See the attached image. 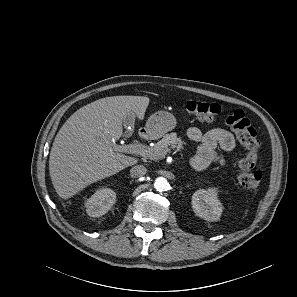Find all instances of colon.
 <instances>
[{"instance_id":"5ec220e1","label":"colon","mask_w":297,"mask_h":297,"mask_svg":"<svg viewBox=\"0 0 297 297\" xmlns=\"http://www.w3.org/2000/svg\"><path fill=\"white\" fill-rule=\"evenodd\" d=\"M185 108L202 121H211L222 112L220 105L202 100H190L186 103ZM225 121L235 132L240 144L246 150V155L238 163V182L245 188L255 190L262 178L260 172H253L258 151L256 130L240 109L230 110L225 117Z\"/></svg>"}]
</instances>
